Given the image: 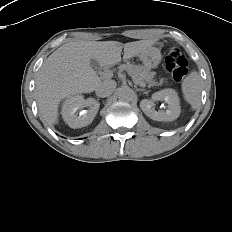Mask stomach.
<instances>
[{
  "label": "stomach",
  "mask_w": 232,
  "mask_h": 232,
  "mask_svg": "<svg viewBox=\"0 0 232 232\" xmlns=\"http://www.w3.org/2000/svg\"><path fill=\"white\" fill-rule=\"evenodd\" d=\"M140 59L143 61L144 66L155 68L161 62V52L156 47H149L139 54Z\"/></svg>",
  "instance_id": "1"
}]
</instances>
